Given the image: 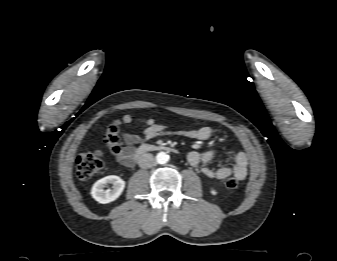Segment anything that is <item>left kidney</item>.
Masks as SVG:
<instances>
[{
  "label": "left kidney",
  "instance_id": "5707ae66",
  "mask_svg": "<svg viewBox=\"0 0 337 261\" xmlns=\"http://www.w3.org/2000/svg\"><path fill=\"white\" fill-rule=\"evenodd\" d=\"M211 194H212V195H216L217 192H216L214 189H211Z\"/></svg>",
  "mask_w": 337,
  "mask_h": 261
}]
</instances>
